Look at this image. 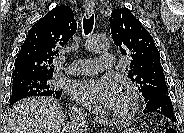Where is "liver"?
<instances>
[{"label":"liver","instance_id":"liver-1","mask_svg":"<svg viewBox=\"0 0 184 133\" xmlns=\"http://www.w3.org/2000/svg\"><path fill=\"white\" fill-rule=\"evenodd\" d=\"M3 133H68L61 106L52 97H32L17 102L3 123Z\"/></svg>","mask_w":184,"mask_h":133}]
</instances>
